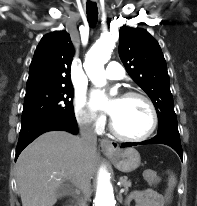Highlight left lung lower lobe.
<instances>
[{
	"label": "left lung lower lobe",
	"instance_id": "obj_1",
	"mask_svg": "<svg viewBox=\"0 0 197 206\" xmlns=\"http://www.w3.org/2000/svg\"><path fill=\"white\" fill-rule=\"evenodd\" d=\"M138 144H165V145H168L171 148H173L178 153L180 158L183 160V152H182L179 133L166 131V132L158 133L154 138H152L150 140L143 141L140 143H123L121 145V147L122 148L131 147V146H136Z\"/></svg>",
	"mask_w": 197,
	"mask_h": 206
}]
</instances>
